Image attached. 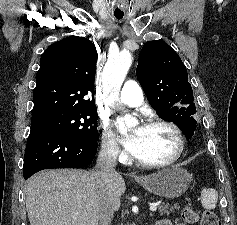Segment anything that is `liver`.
I'll return each instance as SVG.
<instances>
[{
    "instance_id": "liver-1",
    "label": "liver",
    "mask_w": 237,
    "mask_h": 225,
    "mask_svg": "<svg viewBox=\"0 0 237 225\" xmlns=\"http://www.w3.org/2000/svg\"><path fill=\"white\" fill-rule=\"evenodd\" d=\"M97 187L93 171L56 169L37 174L25 192L30 225H99ZM125 190L118 174L107 189L114 209Z\"/></svg>"
}]
</instances>
